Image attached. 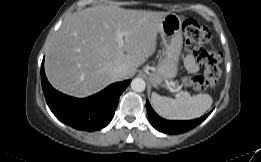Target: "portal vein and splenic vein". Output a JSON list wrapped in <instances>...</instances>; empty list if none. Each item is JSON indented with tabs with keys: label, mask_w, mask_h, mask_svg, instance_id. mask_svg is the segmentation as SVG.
Instances as JSON below:
<instances>
[{
	"label": "portal vein and splenic vein",
	"mask_w": 261,
	"mask_h": 162,
	"mask_svg": "<svg viewBox=\"0 0 261 162\" xmlns=\"http://www.w3.org/2000/svg\"><path fill=\"white\" fill-rule=\"evenodd\" d=\"M125 35H127V32L120 31V30H118V31L116 32L117 42H118V45H119L120 47H123V46H124V39H123V37H124ZM170 85L173 87V91H176V92H179V91H180V89L176 87L175 82L171 81V82H170ZM180 94H183V92L180 91ZM185 94H186V93H185Z\"/></svg>",
	"instance_id": "18ae733b"
}]
</instances>
